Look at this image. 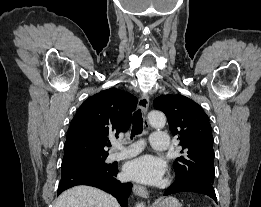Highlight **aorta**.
Masks as SVG:
<instances>
[{
	"label": "aorta",
	"instance_id": "762f6f07",
	"mask_svg": "<svg viewBox=\"0 0 261 207\" xmlns=\"http://www.w3.org/2000/svg\"><path fill=\"white\" fill-rule=\"evenodd\" d=\"M148 121L152 127L162 128L166 124V117L162 112L154 110L148 114ZM136 207H144V205L139 203Z\"/></svg>",
	"mask_w": 261,
	"mask_h": 207
}]
</instances>
